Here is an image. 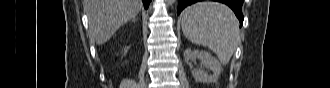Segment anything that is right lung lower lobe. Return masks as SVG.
<instances>
[{"instance_id":"1","label":"right lung lower lobe","mask_w":330,"mask_h":88,"mask_svg":"<svg viewBox=\"0 0 330 88\" xmlns=\"http://www.w3.org/2000/svg\"><path fill=\"white\" fill-rule=\"evenodd\" d=\"M142 1H143L145 9H147L151 0H142Z\"/></svg>"}]
</instances>
